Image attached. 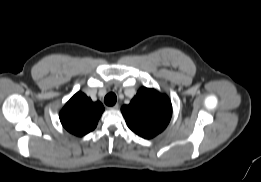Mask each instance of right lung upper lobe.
Returning <instances> with one entry per match:
<instances>
[{"instance_id":"obj_1","label":"right lung upper lobe","mask_w":261,"mask_h":182,"mask_svg":"<svg viewBox=\"0 0 261 182\" xmlns=\"http://www.w3.org/2000/svg\"><path fill=\"white\" fill-rule=\"evenodd\" d=\"M104 111L101 102H93L82 92H77L60 112L63 127L76 136H83L95 129Z\"/></svg>"}]
</instances>
